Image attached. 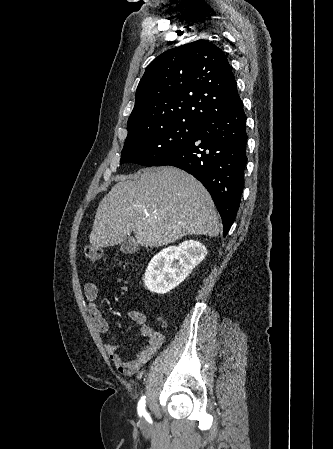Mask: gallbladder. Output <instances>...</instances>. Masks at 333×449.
<instances>
[{
	"mask_svg": "<svg viewBox=\"0 0 333 449\" xmlns=\"http://www.w3.org/2000/svg\"><path fill=\"white\" fill-rule=\"evenodd\" d=\"M139 249V244L133 237L126 238L121 244H120V250L126 254H133L137 252Z\"/></svg>",
	"mask_w": 333,
	"mask_h": 449,
	"instance_id": "gallbladder-1",
	"label": "gallbladder"
}]
</instances>
